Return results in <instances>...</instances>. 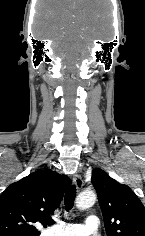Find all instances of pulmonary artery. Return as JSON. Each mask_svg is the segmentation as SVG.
Returning a JSON list of instances; mask_svg holds the SVG:
<instances>
[{
  "mask_svg": "<svg viewBox=\"0 0 145 236\" xmlns=\"http://www.w3.org/2000/svg\"><path fill=\"white\" fill-rule=\"evenodd\" d=\"M98 226V218L91 215L85 224L61 223L45 230L44 236H90L96 233Z\"/></svg>",
  "mask_w": 145,
  "mask_h": 236,
  "instance_id": "pulmonary-artery-1",
  "label": "pulmonary artery"
}]
</instances>
